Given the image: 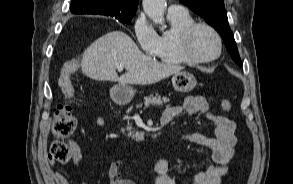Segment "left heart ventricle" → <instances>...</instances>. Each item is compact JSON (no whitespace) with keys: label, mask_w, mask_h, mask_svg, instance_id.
Returning a JSON list of instances; mask_svg holds the SVG:
<instances>
[{"label":"left heart ventricle","mask_w":293,"mask_h":184,"mask_svg":"<svg viewBox=\"0 0 293 184\" xmlns=\"http://www.w3.org/2000/svg\"><path fill=\"white\" fill-rule=\"evenodd\" d=\"M190 49L196 57H211L217 53V40L209 30L200 28L192 36Z\"/></svg>","instance_id":"b2bd125f"}]
</instances>
